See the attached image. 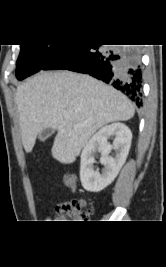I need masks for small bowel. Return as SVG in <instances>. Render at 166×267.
<instances>
[{
  "mask_svg": "<svg viewBox=\"0 0 166 267\" xmlns=\"http://www.w3.org/2000/svg\"><path fill=\"white\" fill-rule=\"evenodd\" d=\"M66 184L70 189L75 190V188H76L75 180L66 181ZM46 219H47V222L51 221V217L50 216H47Z\"/></svg>",
  "mask_w": 166,
  "mask_h": 267,
  "instance_id": "small-bowel-1",
  "label": "small bowel"
}]
</instances>
